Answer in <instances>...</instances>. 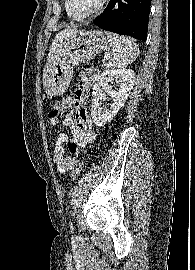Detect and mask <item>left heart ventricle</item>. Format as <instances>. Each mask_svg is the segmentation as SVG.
Wrapping results in <instances>:
<instances>
[{"mask_svg":"<svg viewBox=\"0 0 195 270\" xmlns=\"http://www.w3.org/2000/svg\"><path fill=\"white\" fill-rule=\"evenodd\" d=\"M75 9L79 13H88L92 11L101 0H72Z\"/></svg>","mask_w":195,"mask_h":270,"instance_id":"b2bd125f","label":"left heart ventricle"}]
</instances>
